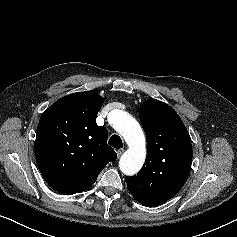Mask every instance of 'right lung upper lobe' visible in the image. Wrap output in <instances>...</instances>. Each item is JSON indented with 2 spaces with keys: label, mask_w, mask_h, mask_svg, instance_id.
Returning <instances> with one entry per match:
<instances>
[{
  "label": "right lung upper lobe",
  "mask_w": 237,
  "mask_h": 237,
  "mask_svg": "<svg viewBox=\"0 0 237 237\" xmlns=\"http://www.w3.org/2000/svg\"><path fill=\"white\" fill-rule=\"evenodd\" d=\"M103 98L78 92L53 103L42 115L35 141V158L46 182L72 195L87 190L116 152L107 144L108 131L96 117Z\"/></svg>",
  "instance_id": "right-lung-upper-lobe-1"
}]
</instances>
